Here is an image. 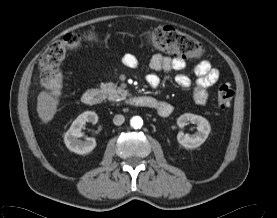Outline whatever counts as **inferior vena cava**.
Returning <instances> with one entry per match:
<instances>
[{
  "label": "inferior vena cava",
  "instance_id": "inferior-vena-cava-1",
  "mask_svg": "<svg viewBox=\"0 0 277 218\" xmlns=\"http://www.w3.org/2000/svg\"><path fill=\"white\" fill-rule=\"evenodd\" d=\"M124 121H125V118H124V116L121 115V114H117V115H115L114 118H113V123H114L115 125H117V126L122 125V124L124 123Z\"/></svg>",
  "mask_w": 277,
  "mask_h": 218
}]
</instances>
